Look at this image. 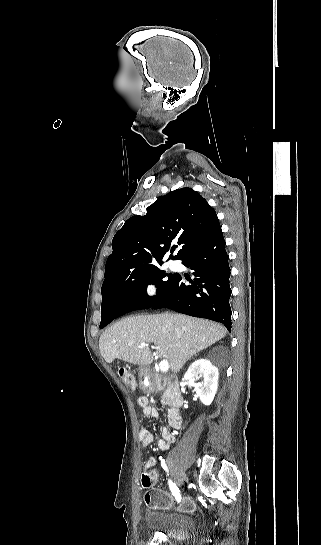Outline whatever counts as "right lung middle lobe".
I'll list each match as a JSON object with an SVG mask.
<instances>
[{"mask_svg": "<svg viewBox=\"0 0 321 545\" xmlns=\"http://www.w3.org/2000/svg\"><path fill=\"white\" fill-rule=\"evenodd\" d=\"M176 275L171 273L166 274L164 271H160L157 266L130 274L116 287L102 289V305L112 295L132 296L144 304H150L165 292ZM166 276H168V280H163ZM147 284H156L157 296L148 297L146 295L145 286ZM104 322V318H101L100 328H103Z\"/></svg>", "mask_w": 321, "mask_h": 545, "instance_id": "dd1d6c3e", "label": "right lung middle lobe"}]
</instances>
